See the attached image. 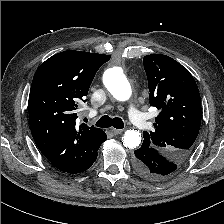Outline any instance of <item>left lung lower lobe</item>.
I'll return each mask as SVG.
<instances>
[{
  "label": "left lung lower lobe",
  "instance_id": "1",
  "mask_svg": "<svg viewBox=\"0 0 224 224\" xmlns=\"http://www.w3.org/2000/svg\"><path fill=\"white\" fill-rule=\"evenodd\" d=\"M133 165L142 177L153 181L176 170L175 164L167 156L144 144L135 150Z\"/></svg>",
  "mask_w": 224,
  "mask_h": 224
}]
</instances>
